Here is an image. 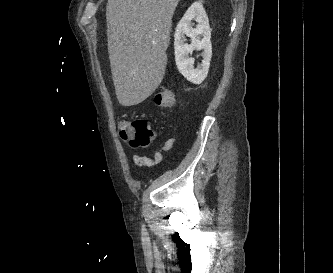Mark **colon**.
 Masks as SVG:
<instances>
[{"label": "colon", "instance_id": "5ec220e1", "mask_svg": "<svg viewBox=\"0 0 333 273\" xmlns=\"http://www.w3.org/2000/svg\"><path fill=\"white\" fill-rule=\"evenodd\" d=\"M155 102L162 108H172L175 104L173 91L170 88L161 89L155 96ZM118 132L121 138L134 148L148 147L154 139V132L144 119L126 120L122 118L118 122Z\"/></svg>", "mask_w": 333, "mask_h": 273}]
</instances>
